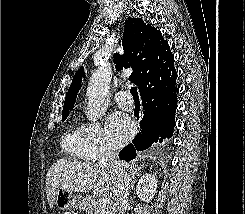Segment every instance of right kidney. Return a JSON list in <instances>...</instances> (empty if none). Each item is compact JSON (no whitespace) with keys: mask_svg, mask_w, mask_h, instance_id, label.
Returning a JSON list of instances; mask_svg holds the SVG:
<instances>
[{"mask_svg":"<svg viewBox=\"0 0 245 214\" xmlns=\"http://www.w3.org/2000/svg\"><path fill=\"white\" fill-rule=\"evenodd\" d=\"M157 189V179L154 175H143L137 184L136 193L138 197L144 202H150Z\"/></svg>","mask_w":245,"mask_h":214,"instance_id":"ca27d5eb","label":"right kidney"}]
</instances>
